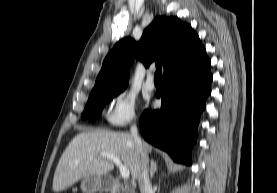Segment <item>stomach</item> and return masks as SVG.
I'll return each mask as SVG.
<instances>
[{
    "label": "stomach",
    "mask_w": 277,
    "mask_h": 193,
    "mask_svg": "<svg viewBox=\"0 0 277 193\" xmlns=\"http://www.w3.org/2000/svg\"><path fill=\"white\" fill-rule=\"evenodd\" d=\"M113 189V180L107 175H93L83 178V193L109 192Z\"/></svg>",
    "instance_id": "1"
}]
</instances>
